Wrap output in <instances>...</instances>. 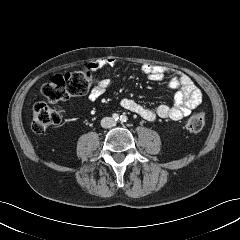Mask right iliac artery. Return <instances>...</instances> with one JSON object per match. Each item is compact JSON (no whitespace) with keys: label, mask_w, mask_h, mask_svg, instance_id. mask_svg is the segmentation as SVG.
<instances>
[{"label":"right iliac artery","mask_w":240,"mask_h":240,"mask_svg":"<svg viewBox=\"0 0 240 240\" xmlns=\"http://www.w3.org/2000/svg\"><path fill=\"white\" fill-rule=\"evenodd\" d=\"M113 119L117 121V120L119 119V115H118V114H116V113H115V114H113Z\"/></svg>","instance_id":"right-iliac-artery-1"}]
</instances>
